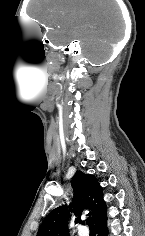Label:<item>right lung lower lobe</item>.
Returning a JSON list of instances; mask_svg holds the SVG:
<instances>
[{
	"instance_id": "98d812e1",
	"label": "right lung lower lobe",
	"mask_w": 145,
	"mask_h": 236,
	"mask_svg": "<svg viewBox=\"0 0 145 236\" xmlns=\"http://www.w3.org/2000/svg\"><path fill=\"white\" fill-rule=\"evenodd\" d=\"M97 236H107V215L101 218L98 222L95 223Z\"/></svg>"
}]
</instances>
